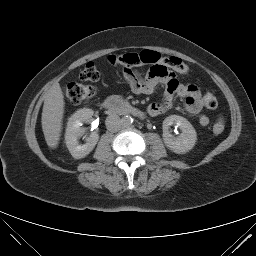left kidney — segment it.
Returning <instances> with one entry per match:
<instances>
[{
    "label": "left kidney",
    "instance_id": "5707ae66",
    "mask_svg": "<svg viewBox=\"0 0 256 256\" xmlns=\"http://www.w3.org/2000/svg\"><path fill=\"white\" fill-rule=\"evenodd\" d=\"M178 126L182 133L177 137L170 134V126ZM163 141L167 148L177 154L191 150L197 140V134L191 123L184 117L171 115L163 121Z\"/></svg>",
    "mask_w": 256,
    "mask_h": 256
}]
</instances>
